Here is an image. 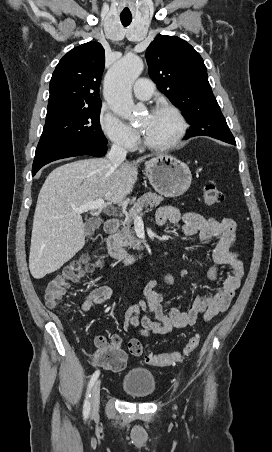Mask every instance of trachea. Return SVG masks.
Returning <instances> with one entry per match:
<instances>
[{
	"label": "trachea",
	"instance_id": "3493384b",
	"mask_svg": "<svg viewBox=\"0 0 272 452\" xmlns=\"http://www.w3.org/2000/svg\"><path fill=\"white\" fill-rule=\"evenodd\" d=\"M120 20L122 25L127 27L132 21V16H120Z\"/></svg>",
	"mask_w": 272,
	"mask_h": 452
}]
</instances>
